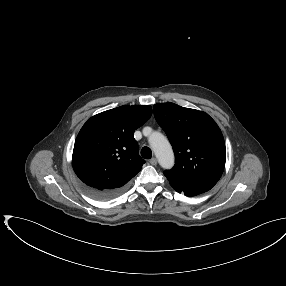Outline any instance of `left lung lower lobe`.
Wrapping results in <instances>:
<instances>
[{
    "mask_svg": "<svg viewBox=\"0 0 286 286\" xmlns=\"http://www.w3.org/2000/svg\"><path fill=\"white\" fill-rule=\"evenodd\" d=\"M172 187L179 193L183 192L186 196H196L198 194H201V193L194 192V191H184V190L178 189V188H176L174 186H172Z\"/></svg>",
    "mask_w": 286,
    "mask_h": 286,
    "instance_id": "0a47b994",
    "label": "left lung lower lobe"
}]
</instances>
